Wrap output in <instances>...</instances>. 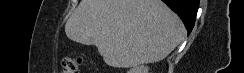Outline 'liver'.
I'll use <instances>...</instances> for the list:
<instances>
[{
	"label": "liver",
	"instance_id": "liver-1",
	"mask_svg": "<svg viewBox=\"0 0 244 73\" xmlns=\"http://www.w3.org/2000/svg\"><path fill=\"white\" fill-rule=\"evenodd\" d=\"M65 33L72 41L94 44L107 65L125 68L163 60L185 28L161 0H81Z\"/></svg>",
	"mask_w": 244,
	"mask_h": 73
}]
</instances>
